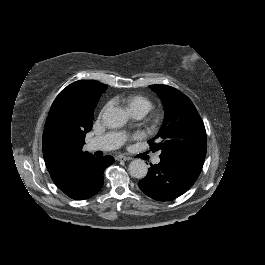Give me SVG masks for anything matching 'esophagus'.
Returning <instances> with one entry per match:
<instances>
[{"instance_id":"obj_1","label":"esophagus","mask_w":265,"mask_h":265,"mask_svg":"<svg viewBox=\"0 0 265 265\" xmlns=\"http://www.w3.org/2000/svg\"><path fill=\"white\" fill-rule=\"evenodd\" d=\"M116 160L118 161H129L131 160L132 158L131 157H127V156H124V155H117L115 157Z\"/></svg>"}]
</instances>
